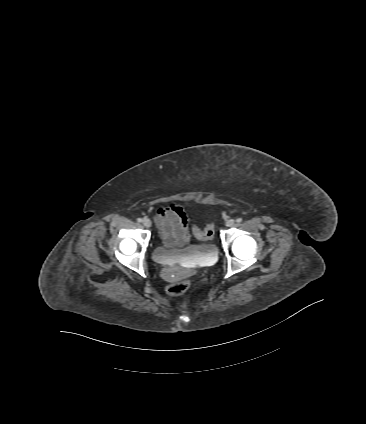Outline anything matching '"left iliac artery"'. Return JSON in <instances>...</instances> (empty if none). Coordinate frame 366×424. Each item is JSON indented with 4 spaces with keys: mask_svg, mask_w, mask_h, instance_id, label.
I'll list each match as a JSON object with an SVG mask.
<instances>
[{
    "mask_svg": "<svg viewBox=\"0 0 366 424\" xmlns=\"http://www.w3.org/2000/svg\"><path fill=\"white\" fill-rule=\"evenodd\" d=\"M238 223L242 222V218H237L236 220Z\"/></svg>",
    "mask_w": 366,
    "mask_h": 424,
    "instance_id": "1",
    "label": "left iliac artery"
}]
</instances>
